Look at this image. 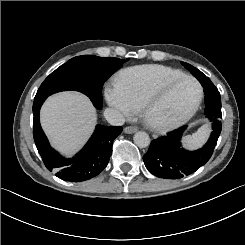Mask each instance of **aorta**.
Listing matches in <instances>:
<instances>
[{
	"instance_id": "obj_1",
	"label": "aorta",
	"mask_w": 245,
	"mask_h": 245,
	"mask_svg": "<svg viewBox=\"0 0 245 245\" xmlns=\"http://www.w3.org/2000/svg\"><path fill=\"white\" fill-rule=\"evenodd\" d=\"M134 143L140 147L145 148L150 144V137L146 132L138 131L134 134L133 137Z\"/></svg>"
}]
</instances>
